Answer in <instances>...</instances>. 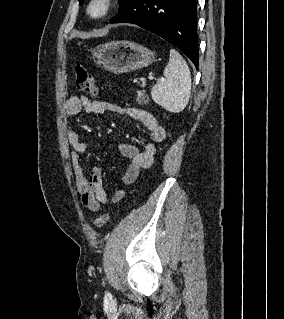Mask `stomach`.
I'll return each mask as SVG.
<instances>
[{
  "label": "stomach",
  "instance_id": "0dacf381",
  "mask_svg": "<svg viewBox=\"0 0 284 319\" xmlns=\"http://www.w3.org/2000/svg\"><path fill=\"white\" fill-rule=\"evenodd\" d=\"M94 61L115 74L149 66L155 61V53L137 43L117 40L96 46L92 50Z\"/></svg>",
  "mask_w": 284,
  "mask_h": 319
}]
</instances>
